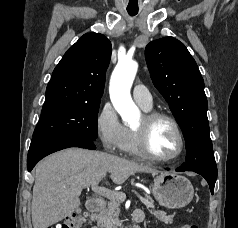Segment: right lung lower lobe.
<instances>
[{"mask_svg":"<svg viewBox=\"0 0 238 228\" xmlns=\"http://www.w3.org/2000/svg\"><path fill=\"white\" fill-rule=\"evenodd\" d=\"M69 147L96 149L92 140L80 137L35 138L32 139L28 152V171H31L43 157Z\"/></svg>","mask_w":238,"mask_h":228,"instance_id":"obj_1","label":"right lung lower lobe"}]
</instances>
